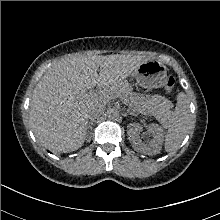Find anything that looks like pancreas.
<instances>
[{"label": "pancreas", "instance_id": "obj_1", "mask_svg": "<svg viewBox=\"0 0 220 220\" xmlns=\"http://www.w3.org/2000/svg\"><path fill=\"white\" fill-rule=\"evenodd\" d=\"M117 94L122 95L124 98L131 100L130 97V86L128 83H123V85L118 90ZM115 93L110 92L109 99L115 97ZM150 105L152 107V110L155 114V116L162 122V123H168L172 108V104L170 101L164 98H158L154 99L150 102Z\"/></svg>", "mask_w": 220, "mask_h": 220}]
</instances>
